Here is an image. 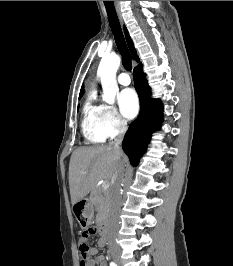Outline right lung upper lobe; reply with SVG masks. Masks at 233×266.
<instances>
[{
	"label": "right lung upper lobe",
	"mask_w": 233,
	"mask_h": 266,
	"mask_svg": "<svg viewBox=\"0 0 233 266\" xmlns=\"http://www.w3.org/2000/svg\"><path fill=\"white\" fill-rule=\"evenodd\" d=\"M124 31H125L127 44H128L129 50L131 52V55H132V57H133L134 60H136L137 62H139V58L136 55V51H135L133 42H132V40H131V38H130V36L128 34V31H127V29L125 27H124ZM83 93H84V88L82 86L79 97L80 96L82 97L83 96Z\"/></svg>",
	"instance_id": "obj_1"
}]
</instances>
